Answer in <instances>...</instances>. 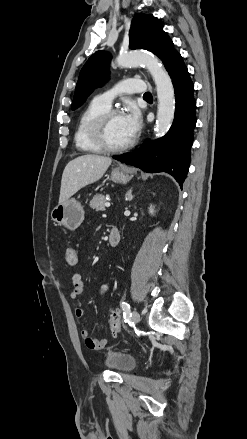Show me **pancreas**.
<instances>
[{
	"label": "pancreas",
	"instance_id": "pancreas-1",
	"mask_svg": "<svg viewBox=\"0 0 247 439\" xmlns=\"http://www.w3.org/2000/svg\"><path fill=\"white\" fill-rule=\"evenodd\" d=\"M105 196L102 194H96L90 201L89 206L91 209H96L97 211L105 210Z\"/></svg>",
	"mask_w": 247,
	"mask_h": 439
}]
</instances>
